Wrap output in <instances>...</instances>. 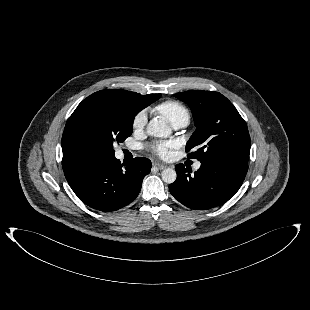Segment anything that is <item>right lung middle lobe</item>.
Instances as JSON below:
<instances>
[{
	"label": "right lung middle lobe",
	"mask_w": 310,
	"mask_h": 310,
	"mask_svg": "<svg viewBox=\"0 0 310 310\" xmlns=\"http://www.w3.org/2000/svg\"><path fill=\"white\" fill-rule=\"evenodd\" d=\"M134 117L125 105L113 100L86 98L66 123L61 142L63 156L114 154L113 144L132 134Z\"/></svg>",
	"instance_id": "right-lung-middle-lobe-1"
}]
</instances>
